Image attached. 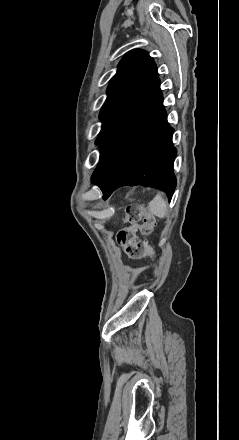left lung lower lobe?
<instances>
[{"label": "left lung lower lobe", "mask_w": 239, "mask_h": 440, "mask_svg": "<svg viewBox=\"0 0 239 440\" xmlns=\"http://www.w3.org/2000/svg\"><path fill=\"white\" fill-rule=\"evenodd\" d=\"M160 80L100 140V161L92 180L106 199L125 185H158L172 198L176 187L174 129L167 123Z\"/></svg>", "instance_id": "0a47b994"}]
</instances>
